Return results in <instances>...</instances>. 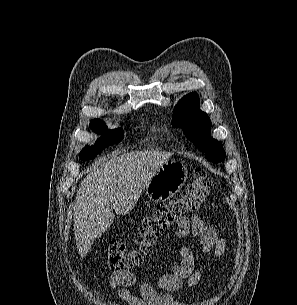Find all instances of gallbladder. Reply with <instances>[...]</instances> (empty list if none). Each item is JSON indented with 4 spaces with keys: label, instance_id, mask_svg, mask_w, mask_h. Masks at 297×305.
<instances>
[{
    "label": "gallbladder",
    "instance_id": "gallbladder-1",
    "mask_svg": "<svg viewBox=\"0 0 297 305\" xmlns=\"http://www.w3.org/2000/svg\"><path fill=\"white\" fill-rule=\"evenodd\" d=\"M94 243V240H91V245Z\"/></svg>",
    "mask_w": 297,
    "mask_h": 305
}]
</instances>
